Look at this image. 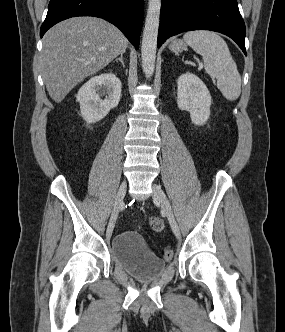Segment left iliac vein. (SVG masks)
<instances>
[{
  "mask_svg": "<svg viewBox=\"0 0 285 332\" xmlns=\"http://www.w3.org/2000/svg\"><path fill=\"white\" fill-rule=\"evenodd\" d=\"M152 189H153V196L161 204V206L168 218V221H169V224L171 226L173 233L175 234L176 237H179L180 230H179L177 221L174 217L170 202H169L166 194L164 193L162 188L160 186H158L157 184H153Z\"/></svg>",
  "mask_w": 285,
  "mask_h": 332,
  "instance_id": "left-iliac-vein-1",
  "label": "left iliac vein"
}]
</instances>
